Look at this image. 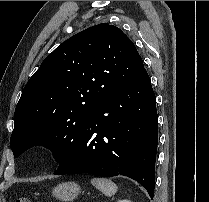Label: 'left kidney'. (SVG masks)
<instances>
[{"instance_id": "5707ae66", "label": "left kidney", "mask_w": 209, "mask_h": 202, "mask_svg": "<svg viewBox=\"0 0 209 202\" xmlns=\"http://www.w3.org/2000/svg\"><path fill=\"white\" fill-rule=\"evenodd\" d=\"M117 202H131V201L124 199V200H118Z\"/></svg>"}]
</instances>
